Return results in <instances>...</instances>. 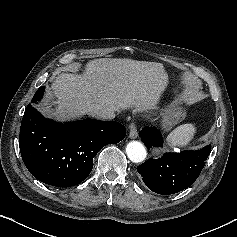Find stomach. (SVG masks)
Here are the masks:
<instances>
[{
  "label": "stomach",
  "instance_id": "stomach-1",
  "mask_svg": "<svg viewBox=\"0 0 237 237\" xmlns=\"http://www.w3.org/2000/svg\"><path fill=\"white\" fill-rule=\"evenodd\" d=\"M185 111L177 101L171 102L162 113V128L169 130L173 125L182 121Z\"/></svg>",
  "mask_w": 237,
  "mask_h": 237
}]
</instances>
